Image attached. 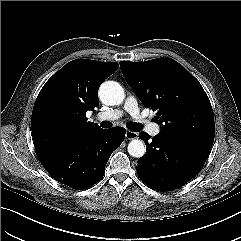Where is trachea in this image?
I'll return each instance as SVG.
<instances>
[{
	"label": "trachea",
	"instance_id": "trachea-1",
	"mask_svg": "<svg viewBox=\"0 0 241 241\" xmlns=\"http://www.w3.org/2000/svg\"><path fill=\"white\" fill-rule=\"evenodd\" d=\"M100 126L103 128H110L112 126V123L109 121H103V122H101ZM127 126L132 131H140L142 128L139 124L134 123V122L128 123Z\"/></svg>",
	"mask_w": 241,
	"mask_h": 241
}]
</instances>
